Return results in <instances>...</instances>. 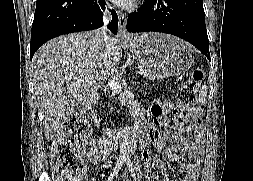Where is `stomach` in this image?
<instances>
[{
	"mask_svg": "<svg viewBox=\"0 0 253 181\" xmlns=\"http://www.w3.org/2000/svg\"><path fill=\"white\" fill-rule=\"evenodd\" d=\"M125 45L137 59L140 73L152 80L184 73L194 62L191 46L167 34L144 33Z\"/></svg>",
	"mask_w": 253,
	"mask_h": 181,
	"instance_id": "1",
	"label": "stomach"
}]
</instances>
